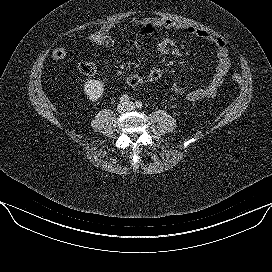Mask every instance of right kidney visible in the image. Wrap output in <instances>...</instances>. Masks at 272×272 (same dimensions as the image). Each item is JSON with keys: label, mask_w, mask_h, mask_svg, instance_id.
Wrapping results in <instances>:
<instances>
[{"label": "right kidney", "mask_w": 272, "mask_h": 272, "mask_svg": "<svg viewBox=\"0 0 272 272\" xmlns=\"http://www.w3.org/2000/svg\"><path fill=\"white\" fill-rule=\"evenodd\" d=\"M104 92V84L99 80H88L84 84V93L92 101H98Z\"/></svg>", "instance_id": "right-kidney-1"}]
</instances>
